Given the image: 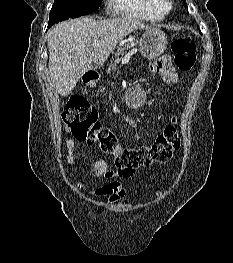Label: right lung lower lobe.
Here are the masks:
<instances>
[{
    "label": "right lung lower lobe",
    "instance_id": "obj_1",
    "mask_svg": "<svg viewBox=\"0 0 233 263\" xmlns=\"http://www.w3.org/2000/svg\"><path fill=\"white\" fill-rule=\"evenodd\" d=\"M53 24H55V23L49 22V23H48V27L52 26Z\"/></svg>",
    "mask_w": 233,
    "mask_h": 263
}]
</instances>
